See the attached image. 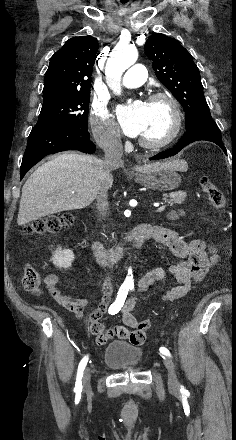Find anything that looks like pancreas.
<instances>
[{
	"label": "pancreas",
	"instance_id": "pancreas-1",
	"mask_svg": "<svg viewBox=\"0 0 236 440\" xmlns=\"http://www.w3.org/2000/svg\"><path fill=\"white\" fill-rule=\"evenodd\" d=\"M187 197V193L183 191H177L175 193L169 194V199L167 195H164V200L170 205L174 206L175 204H182Z\"/></svg>",
	"mask_w": 236,
	"mask_h": 440
}]
</instances>
